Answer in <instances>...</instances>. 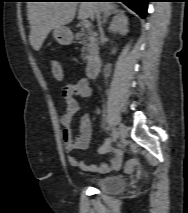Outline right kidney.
Listing matches in <instances>:
<instances>
[{
	"mask_svg": "<svg viewBox=\"0 0 188 213\" xmlns=\"http://www.w3.org/2000/svg\"><path fill=\"white\" fill-rule=\"evenodd\" d=\"M109 31L121 35H126L128 33V18L124 12L113 18L109 26Z\"/></svg>",
	"mask_w": 188,
	"mask_h": 213,
	"instance_id": "right-kidney-1",
	"label": "right kidney"
}]
</instances>
